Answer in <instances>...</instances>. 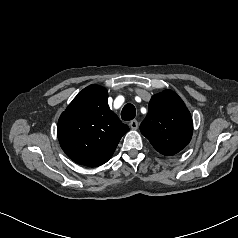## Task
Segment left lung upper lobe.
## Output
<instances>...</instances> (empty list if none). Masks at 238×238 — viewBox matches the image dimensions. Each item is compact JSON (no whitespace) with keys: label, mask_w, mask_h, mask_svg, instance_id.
I'll return each mask as SVG.
<instances>
[{"label":"left lung upper lobe","mask_w":238,"mask_h":238,"mask_svg":"<svg viewBox=\"0 0 238 238\" xmlns=\"http://www.w3.org/2000/svg\"><path fill=\"white\" fill-rule=\"evenodd\" d=\"M140 130L158 152L171 156L190 142L193 122L181 98L173 91L165 90L151 98Z\"/></svg>","instance_id":"left-lung-upper-lobe-1"}]
</instances>
